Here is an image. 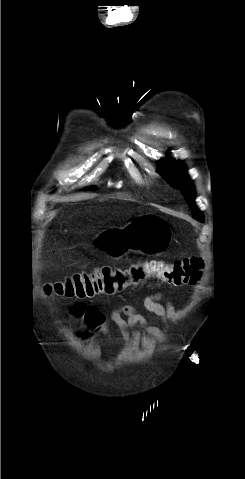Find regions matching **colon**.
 <instances>
[{
	"mask_svg": "<svg viewBox=\"0 0 245 479\" xmlns=\"http://www.w3.org/2000/svg\"><path fill=\"white\" fill-rule=\"evenodd\" d=\"M203 264L200 257H188L170 262L150 260L127 268L104 266L47 284L45 292L53 296L85 299L121 292L149 279L176 286L190 285L199 280ZM71 310L75 316L86 318L85 304L76 303Z\"/></svg>",
	"mask_w": 245,
	"mask_h": 479,
	"instance_id": "colon-1",
	"label": "colon"
}]
</instances>
